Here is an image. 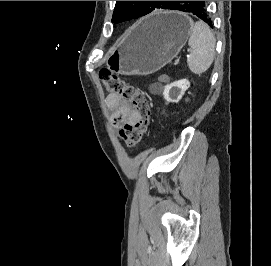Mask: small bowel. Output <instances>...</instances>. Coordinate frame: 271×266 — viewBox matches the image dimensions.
<instances>
[{"mask_svg":"<svg viewBox=\"0 0 271 266\" xmlns=\"http://www.w3.org/2000/svg\"><path fill=\"white\" fill-rule=\"evenodd\" d=\"M108 107L113 111L112 123L116 127H121L127 123H133L138 115L131 104L115 95H108L106 99Z\"/></svg>","mask_w":271,"mask_h":266,"instance_id":"1","label":"small bowel"}]
</instances>
